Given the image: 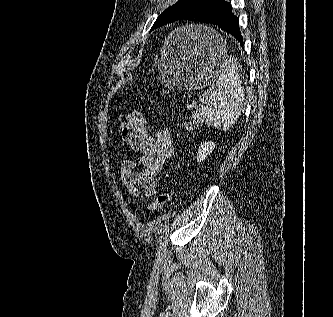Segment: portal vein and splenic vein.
<instances>
[{"label": "portal vein and splenic vein", "mask_w": 333, "mask_h": 317, "mask_svg": "<svg viewBox=\"0 0 333 317\" xmlns=\"http://www.w3.org/2000/svg\"><path fill=\"white\" fill-rule=\"evenodd\" d=\"M188 109H193V108H198V106L194 105V104H190L187 106Z\"/></svg>", "instance_id": "obj_1"}]
</instances>
